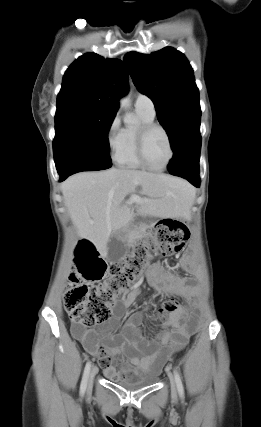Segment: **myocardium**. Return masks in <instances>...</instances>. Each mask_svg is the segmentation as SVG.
I'll list each match as a JSON object with an SVG mask.
<instances>
[{
	"label": "myocardium",
	"mask_w": 261,
	"mask_h": 427,
	"mask_svg": "<svg viewBox=\"0 0 261 427\" xmlns=\"http://www.w3.org/2000/svg\"><path fill=\"white\" fill-rule=\"evenodd\" d=\"M155 130H159L164 134L169 146V158L166 163L161 167H155L151 165L146 157V141L148 136ZM136 152L139 161L145 168L157 172L165 170L174 158L173 143L168 131L163 126L156 123L142 124L138 127L136 132Z\"/></svg>",
	"instance_id": "myocardium-1"
}]
</instances>
